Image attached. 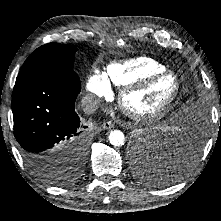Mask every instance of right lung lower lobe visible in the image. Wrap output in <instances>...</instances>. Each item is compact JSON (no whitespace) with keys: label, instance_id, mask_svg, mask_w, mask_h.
Here are the masks:
<instances>
[{"label":"right lung lower lobe","instance_id":"98d812e1","mask_svg":"<svg viewBox=\"0 0 221 221\" xmlns=\"http://www.w3.org/2000/svg\"><path fill=\"white\" fill-rule=\"evenodd\" d=\"M79 78L35 80L12 93L14 136L24 160L41 176L56 167L81 165L87 141L74 110Z\"/></svg>","mask_w":221,"mask_h":221}]
</instances>
